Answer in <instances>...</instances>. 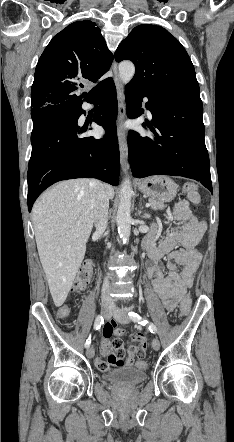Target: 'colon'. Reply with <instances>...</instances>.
I'll use <instances>...</instances> for the list:
<instances>
[{"label": "colon", "mask_w": 234, "mask_h": 442, "mask_svg": "<svg viewBox=\"0 0 234 442\" xmlns=\"http://www.w3.org/2000/svg\"><path fill=\"white\" fill-rule=\"evenodd\" d=\"M198 186L193 182H188L184 184L183 186V192L188 197H197L198 196ZM93 273V266L90 262H86L82 265V267L79 269L75 284H74V290L75 291H81L85 288V286L88 284L92 277ZM191 307V297L189 294L185 295L183 302L181 303V314L185 315L189 312ZM71 314V308L68 305H63L57 310V316L60 319H66ZM142 342V341H140ZM123 347V346H122ZM137 347V345H136ZM146 350V349H145ZM146 354V353H145ZM105 356L107 359V362L102 361L101 359L96 360V364L99 366V368L103 371H107L110 369V366L113 367H119L123 365V356H124V350L123 348L119 350H106ZM137 370L142 371L145 368V362L143 360L138 361L136 365Z\"/></svg>", "instance_id": "5ec220e1"}]
</instances>
